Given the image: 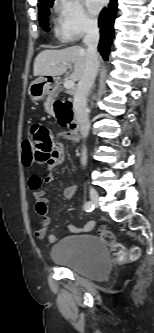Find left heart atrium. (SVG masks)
Wrapping results in <instances>:
<instances>
[{"label":"left heart atrium","mask_w":154,"mask_h":333,"mask_svg":"<svg viewBox=\"0 0 154 333\" xmlns=\"http://www.w3.org/2000/svg\"><path fill=\"white\" fill-rule=\"evenodd\" d=\"M106 0H86V4L91 13L96 14L105 4Z\"/></svg>","instance_id":"39dd6f15"}]
</instances>
